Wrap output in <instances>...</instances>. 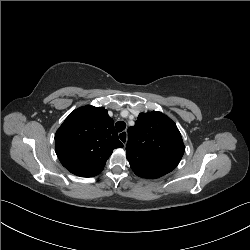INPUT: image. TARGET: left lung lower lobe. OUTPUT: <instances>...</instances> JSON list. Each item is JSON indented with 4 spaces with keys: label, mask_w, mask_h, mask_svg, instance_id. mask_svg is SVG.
<instances>
[{
    "label": "left lung lower lobe",
    "mask_w": 250,
    "mask_h": 250,
    "mask_svg": "<svg viewBox=\"0 0 250 250\" xmlns=\"http://www.w3.org/2000/svg\"><path fill=\"white\" fill-rule=\"evenodd\" d=\"M154 164V162L152 160H146L142 163V177L143 178H159L161 176H163V174L160 171L154 170L152 169V165Z\"/></svg>",
    "instance_id": "1"
}]
</instances>
